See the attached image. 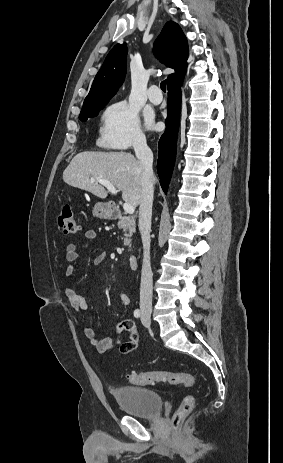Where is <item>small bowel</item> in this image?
I'll list each match as a JSON object with an SVG mask.
<instances>
[{"label":"small bowel","instance_id":"c3829d8e","mask_svg":"<svg viewBox=\"0 0 283 463\" xmlns=\"http://www.w3.org/2000/svg\"><path fill=\"white\" fill-rule=\"evenodd\" d=\"M85 237L88 240L96 239V232L94 230H88L85 233ZM65 258L69 262L65 270V276L67 278L73 277L75 273V263L78 259L77 245L75 243H69L65 248ZM106 259V253H100L93 259L94 265L101 264ZM65 296L68 299L73 310L81 312L87 309V303L85 299L78 295L72 285H67L64 289ZM120 302L124 306L130 305L129 296L121 292L118 295ZM128 332L129 336L127 339H123L122 333ZM116 337H100L90 327H84V334L90 341V343L96 348L99 353H107L116 348H120V351L124 354L133 352L138 345V334L136 330L135 322L131 319H124L120 321L115 329ZM123 348L126 349L123 352Z\"/></svg>","mask_w":283,"mask_h":463}]
</instances>
